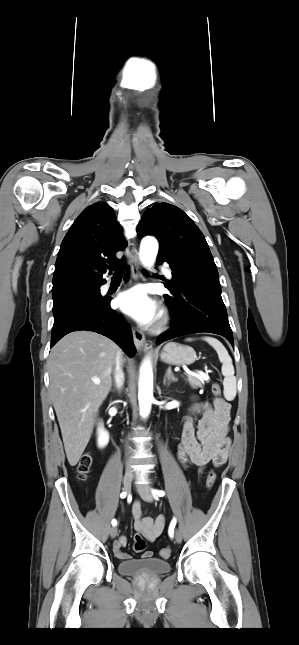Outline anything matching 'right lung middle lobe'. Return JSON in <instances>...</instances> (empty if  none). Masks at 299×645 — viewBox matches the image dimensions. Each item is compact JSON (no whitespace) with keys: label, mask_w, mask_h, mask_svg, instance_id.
<instances>
[{"label":"right lung middle lobe","mask_w":299,"mask_h":645,"mask_svg":"<svg viewBox=\"0 0 299 645\" xmlns=\"http://www.w3.org/2000/svg\"><path fill=\"white\" fill-rule=\"evenodd\" d=\"M101 285L78 283L52 291L54 321L79 307L101 303L105 299L100 294Z\"/></svg>","instance_id":"1"}]
</instances>
